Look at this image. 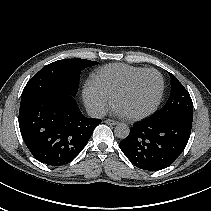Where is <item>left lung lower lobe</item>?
Instances as JSON below:
<instances>
[{
    "label": "left lung lower lobe",
    "instance_id": "obj_1",
    "mask_svg": "<svg viewBox=\"0 0 211 211\" xmlns=\"http://www.w3.org/2000/svg\"><path fill=\"white\" fill-rule=\"evenodd\" d=\"M192 122L180 118L147 119L135 124L119 147L137 167L157 171L170 166L183 152Z\"/></svg>",
    "mask_w": 211,
    "mask_h": 211
}]
</instances>
